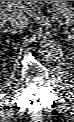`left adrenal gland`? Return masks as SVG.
<instances>
[{
  "label": "left adrenal gland",
  "instance_id": "left-adrenal-gland-1",
  "mask_svg": "<svg viewBox=\"0 0 74 122\" xmlns=\"http://www.w3.org/2000/svg\"><path fill=\"white\" fill-rule=\"evenodd\" d=\"M65 33L70 34V33L68 32L67 28H65Z\"/></svg>",
  "mask_w": 74,
  "mask_h": 122
}]
</instances>
